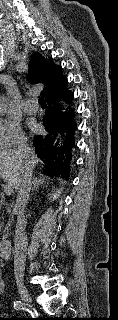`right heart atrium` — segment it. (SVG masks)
Masks as SVG:
<instances>
[{
  "mask_svg": "<svg viewBox=\"0 0 118 320\" xmlns=\"http://www.w3.org/2000/svg\"><path fill=\"white\" fill-rule=\"evenodd\" d=\"M25 141L17 123L0 118V149L10 148Z\"/></svg>",
  "mask_w": 118,
  "mask_h": 320,
  "instance_id": "obj_1",
  "label": "right heart atrium"
}]
</instances>
